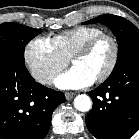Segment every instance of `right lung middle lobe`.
<instances>
[{
	"instance_id": "dd1d6c3e",
	"label": "right lung middle lobe",
	"mask_w": 139,
	"mask_h": 139,
	"mask_svg": "<svg viewBox=\"0 0 139 139\" xmlns=\"http://www.w3.org/2000/svg\"><path fill=\"white\" fill-rule=\"evenodd\" d=\"M41 32L25 25L6 22L0 24V55L24 60V47Z\"/></svg>"
}]
</instances>
